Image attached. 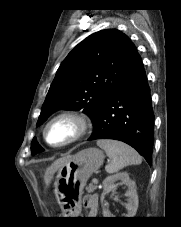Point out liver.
Listing matches in <instances>:
<instances>
[{
  "instance_id": "1",
  "label": "liver",
  "mask_w": 181,
  "mask_h": 227,
  "mask_svg": "<svg viewBox=\"0 0 181 227\" xmlns=\"http://www.w3.org/2000/svg\"><path fill=\"white\" fill-rule=\"evenodd\" d=\"M72 158V156L68 155L66 157L60 158L58 160H56L54 163L51 164V166H49L46 170H45V174H44V182L46 184V186H49V184L51 183V180L53 179V176L55 174V172L62 167L63 165H65L67 162H69V160Z\"/></svg>"
}]
</instances>
